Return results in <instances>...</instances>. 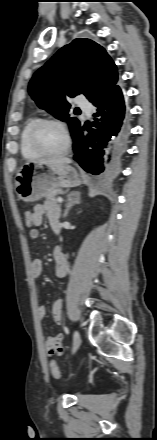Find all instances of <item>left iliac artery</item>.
Masks as SVG:
<instances>
[{"instance_id": "obj_1", "label": "left iliac artery", "mask_w": 157, "mask_h": 440, "mask_svg": "<svg viewBox=\"0 0 157 440\" xmlns=\"http://www.w3.org/2000/svg\"><path fill=\"white\" fill-rule=\"evenodd\" d=\"M65 330L68 332V329H67V327H65Z\"/></svg>"}]
</instances>
